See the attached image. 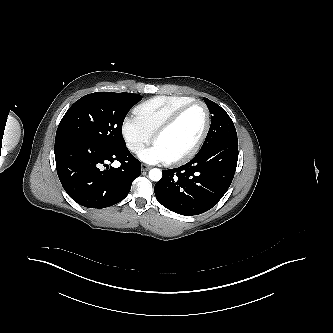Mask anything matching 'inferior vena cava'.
<instances>
[{
  "instance_id": "obj_1",
  "label": "inferior vena cava",
  "mask_w": 333,
  "mask_h": 333,
  "mask_svg": "<svg viewBox=\"0 0 333 333\" xmlns=\"http://www.w3.org/2000/svg\"><path fill=\"white\" fill-rule=\"evenodd\" d=\"M139 148H140L139 146L135 147V149H137V150H138Z\"/></svg>"
}]
</instances>
